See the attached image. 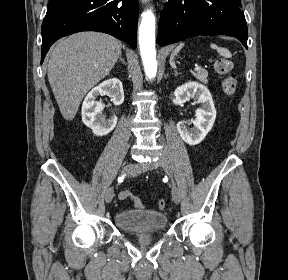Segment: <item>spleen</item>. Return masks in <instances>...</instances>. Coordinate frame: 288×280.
<instances>
[{
  "label": "spleen",
  "instance_id": "1",
  "mask_svg": "<svg viewBox=\"0 0 288 280\" xmlns=\"http://www.w3.org/2000/svg\"><path fill=\"white\" fill-rule=\"evenodd\" d=\"M184 46V43H180L174 50L173 54L171 55L170 57V65L172 68H176V65H175V62H174V56L182 49V47ZM211 48L212 49H216L217 52L225 57V58H231L232 57V54L230 53V51L226 48H223V47H218L217 45L215 44H211Z\"/></svg>",
  "mask_w": 288,
  "mask_h": 280
}]
</instances>
